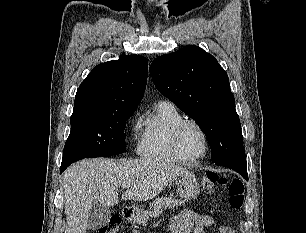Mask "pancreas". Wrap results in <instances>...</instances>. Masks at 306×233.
I'll return each instance as SVG.
<instances>
[{
  "label": "pancreas",
  "mask_w": 306,
  "mask_h": 233,
  "mask_svg": "<svg viewBox=\"0 0 306 233\" xmlns=\"http://www.w3.org/2000/svg\"><path fill=\"white\" fill-rule=\"evenodd\" d=\"M184 203V201L173 198L172 196H164L160 198H156L153 200L150 204L149 207L153 211L150 212V215L153 217L158 216L164 209L166 208H175L178 206H181Z\"/></svg>",
  "instance_id": "cf45deb5"
}]
</instances>
